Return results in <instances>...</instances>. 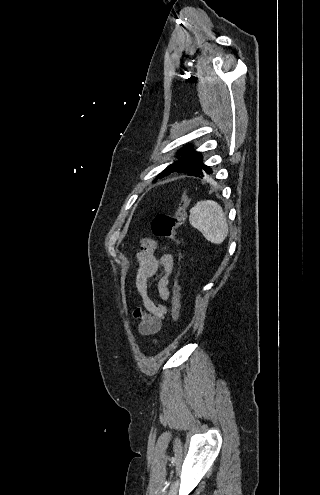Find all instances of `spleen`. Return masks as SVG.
I'll use <instances>...</instances> for the list:
<instances>
[{
    "instance_id": "1",
    "label": "spleen",
    "mask_w": 320,
    "mask_h": 495,
    "mask_svg": "<svg viewBox=\"0 0 320 495\" xmlns=\"http://www.w3.org/2000/svg\"><path fill=\"white\" fill-rule=\"evenodd\" d=\"M189 221L211 243L221 244L228 236L225 213L216 201L197 202L190 211Z\"/></svg>"
}]
</instances>
